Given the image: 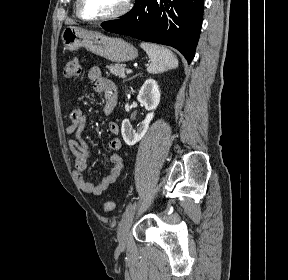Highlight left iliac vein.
Returning a JSON list of instances; mask_svg holds the SVG:
<instances>
[{
    "mask_svg": "<svg viewBox=\"0 0 288 280\" xmlns=\"http://www.w3.org/2000/svg\"><path fill=\"white\" fill-rule=\"evenodd\" d=\"M138 202L132 204L129 214H124L122 223L120 224L117 232L118 242L120 247H125L128 241V232L132 224V220L137 208Z\"/></svg>",
    "mask_w": 288,
    "mask_h": 280,
    "instance_id": "4c4485c4",
    "label": "left iliac vein"
}]
</instances>
